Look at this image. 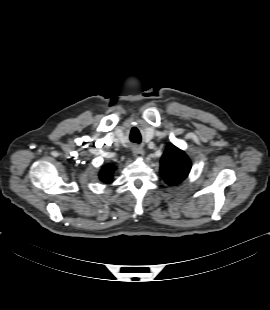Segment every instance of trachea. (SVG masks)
Masks as SVG:
<instances>
[{
    "label": "trachea",
    "mask_w": 270,
    "mask_h": 310,
    "mask_svg": "<svg viewBox=\"0 0 270 310\" xmlns=\"http://www.w3.org/2000/svg\"><path fill=\"white\" fill-rule=\"evenodd\" d=\"M131 141L139 144L141 142V138L140 137L132 138Z\"/></svg>",
    "instance_id": "obj_1"
}]
</instances>
